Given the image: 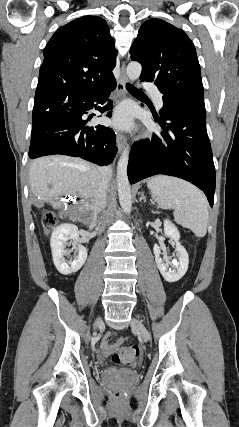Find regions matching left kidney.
<instances>
[{
    "label": "left kidney",
    "mask_w": 239,
    "mask_h": 427,
    "mask_svg": "<svg viewBox=\"0 0 239 427\" xmlns=\"http://www.w3.org/2000/svg\"><path fill=\"white\" fill-rule=\"evenodd\" d=\"M164 233L176 242V255L178 257V261L174 260L171 267L168 263H165L160 257L161 249L157 244L153 247L155 261L164 279L167 282H176L185 275L188 269V253L179 242L180 233L177 227L169 220H164Z\"/></svg>",
    "instance_id": "obj_1"
}]
</instances>
